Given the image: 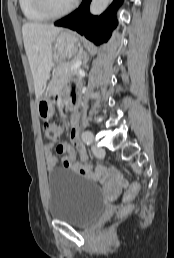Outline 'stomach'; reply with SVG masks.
<instances>
[{
	"label": "stomach",
	"mask_w": 174,
	"mask_h": 258,
	"mask_svg": "<svg viewBox=\"0 0 174 258\" xmlns=\"http://www.w3.org/2000/svg\"><path fill=\"white\" fill-rule=\"evenodd\" d=\"M79 47L80 42L76 35L69 30H63L54 40V56L58 60L71 58L78 53ZM51 96L52 86L49 84L42 89L39 97L37 98L38 115L43 120L51 118L54 114V106Z\"/></svg>",
	"instance_id": "obj_1"
}]
</instances>
